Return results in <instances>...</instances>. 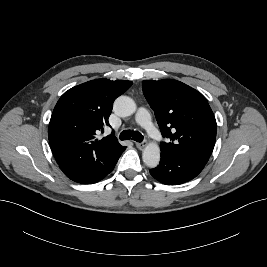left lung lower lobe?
Listing matches in <instances>:
<instances>
[{"label": "left lung lower lobe", "mask_w": 267, "mask_h": 267, "mask_svg": "<svg viewBox=\"0 0 267 267\" xmlns=\"http://www.w3.org/2000/svg\"><path fill=\"white\" fill-rule=\"evenodd\" d=\"M206 162L192 157L161 152L159 166L150 170L151 175L166 185H178L194 179Z\"/></svg>", "instance_id": "obj_1"}]
</instances>
